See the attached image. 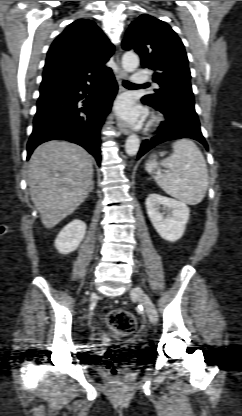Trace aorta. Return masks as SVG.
<instances>
[{
    "label": "aorta",
    "mask_w": 242,
    "mask_h": 416,
    "mask_svg": "<svg viewBox=\"0 0 242 416\" xmlns=\"http://www.w3.org/2000/svg\"><path fill=\"white\" fill-rule=\"evenodd\" d=\"M139 66V57L134 52H126L122 57V67L126 72H134ZM140 147V139L137 135L131 134L125 143V150L129 156L137 154Z\"/></svg>",
    "instance_id": "762f6f07"
}]
</instances>
